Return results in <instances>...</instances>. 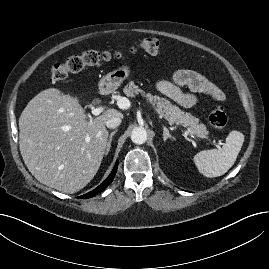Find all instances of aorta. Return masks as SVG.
<instances>
[{"label":"aorta","instance_id":"obj_1","mask_svg":"<svg viewBox=\"0 0 269 269\" xmlns=\"http://www.w3.org/2000/svg\"><path fill=\"white\" fill-rule=\"evenodd\" d=\"M131 140L135 144H143L147 140V131L144 127H135L131 132Z\"/></svg>","mask_w":269,"mask_h":269}]
</instances>
